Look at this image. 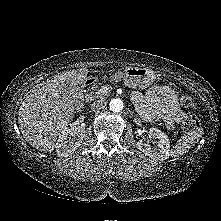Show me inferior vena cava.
I'll use <instances>...</instances> for the list:
<instances>
[{"instance_id": "1", "label": "inferior vena cava", "mask_w": 221, "mask_h": 221, "mask_svg": "<svg viewBox=\"0 0 221 221\" xmlns=\"http://www.w3.org/2000/svg\"><path fill=\"white\" fill-rule=\"evenodd\" d=\"M105 105H106L105 99L102 98L101 100H98L91 104V110L94 112L99 111L101 109H104Z\"/></svg>"}]
</instances>
